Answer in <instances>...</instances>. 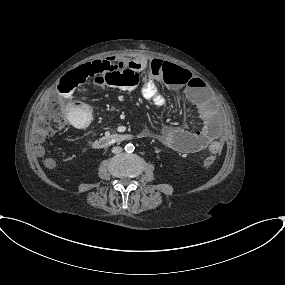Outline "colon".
I'll list each match as a JSON object with an SVG mask.
<instances>
[{"mask_svg":"<svg viewBox=\"0 0 285 285\" xmlns=\"http://www.w3.org/2000/svg\"><path fill=\"white\" fill-rule=\"evenodd\" d=\"M188 71L176 65L164 64L163 75L185 77ZM141 74L120 62L109 60H96L85 63L76 69L68 72L61 80L60 92L49 96L44 104L43 111L37 116L33 129V140L41 143L44 139L58 132L66 124L67 114L64 101L68 97H74L78 91V86L89 80L98 79L108 86L123 90L134 91L139 84ZM89 120H83L80 126H86ZM211 156L204 162L205 166L210 165L220 154L221 149L218 144L211 146Z\"/></svg>","mask_w":285,"mask_h":285,"instance_id":"obj_1","label":"colon"}]
</instances>
